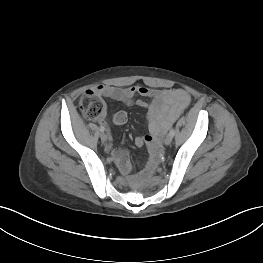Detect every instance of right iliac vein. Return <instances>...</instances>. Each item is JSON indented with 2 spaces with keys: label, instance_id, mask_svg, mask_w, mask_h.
Returning a JSON list of instances; mask_svg holds the SVG:
<instances>
[{
  "label": "right iliac vein",
  "instance_id": "1",
  "mask_svg": "<svg viewBox=\"0 0 263 263\" xmlns=\"http://www.w3.org/2000/svg\"><path fill=\"white\" fill-rule=\"evenodd\" d=\"M100 138H101V140H102L103 142H106V140H107V135H106L104 132H102V133L100 134Z\"/></svg>",
  "mask_w": 263,
  "mask_h": 263
}]
</instances>
